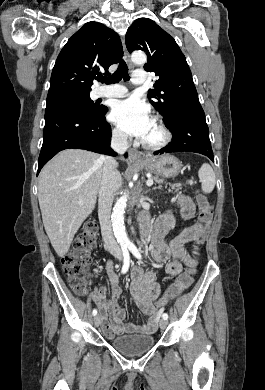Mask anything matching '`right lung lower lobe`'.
I'll use <instances>...</instances> for the list:
<instances>
[{
	"mask_svg": "<svg viewBox=\"0 0 265 390\" xmlns=\"http://www.w3.org/2000/svg\"><path fill=\"white\" fill-rule=\"evenodd\" d=\"M107 111L105 106L99 114H88L76 108L46 109L37 175L56 153L68 148L116 156L110 148L111 126L105 119Z\"/></svg>",
	"mask_w": 265,
	"mask_h": 390,
	"instance_id": "98d812e1",
	"label": "right lung lower lobe"
}]
</instances>
